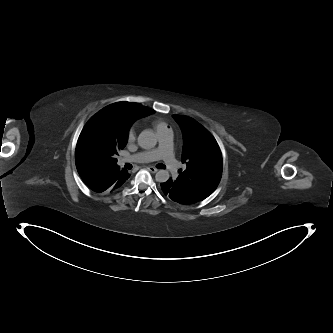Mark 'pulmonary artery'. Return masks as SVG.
I'll return each instance as SVG.
<instances>
[{
	"label": "pulmonary artery",
	"instance_id": "pulmonary-artery-1",
	"mask_svg": "<svg viewBox=\"0 0 333 333\" xmlns=\"http://www.w3.org/2000/svg\"><path fill=\"white\" fill-rule=\"evenodd\" d=\"M173 134L170 129L159 133V148L144 151L122 160V163H148L162 159L171 172H175V160L173 156Z\"/></svg>",
	"mask_w": 333,
	"mask_h": 333
}]
</instances>
